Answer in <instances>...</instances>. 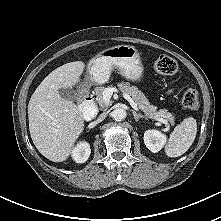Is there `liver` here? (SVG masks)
Wrapping results in <instances>:
<instances>
[{
  "label": "liver",
  "mask_w": 221,
  "mask_h": 221,
  "mask_svg": "<svg viewBox=\"0 0 221 221\" xmlns=\"http://www.w3.org/2000/svg\"><path fill=\"white\" fill-rule=\"evenodd\" d=\"M84 67L82 61H75L56 68L30 98V135L37 150L50 161H65L84 130V117L78 106L59 94L60 89L77 85Z\"/></svg>",
  "instance_id": "liver-1"
}]
</instances>
